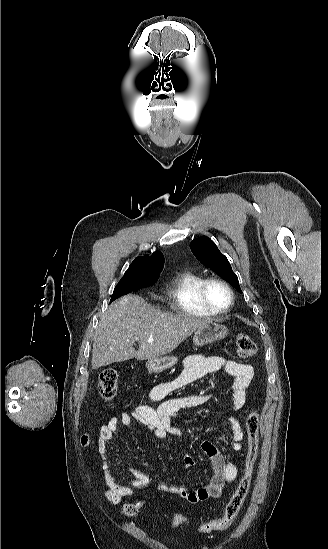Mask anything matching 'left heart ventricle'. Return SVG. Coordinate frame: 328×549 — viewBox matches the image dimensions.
Wrapping results in <instances>:
<instances>
[{"label":"left heart ventricle","instance_id":"left-heart-ventricle-1","mask_svg":"<svg viewBox=\"0 0 328 549\" xmlns=\"http://www.w3.org/2000/svg\"><path fill=\"white\" fill-rule=\"evenodd\" d=\"M210 306L217 310L227 307L230 301L228 291L221 285H212L208 292Z\"/></svg>","mask_w":328,"mask_h":549}]
</instances>
